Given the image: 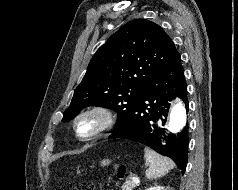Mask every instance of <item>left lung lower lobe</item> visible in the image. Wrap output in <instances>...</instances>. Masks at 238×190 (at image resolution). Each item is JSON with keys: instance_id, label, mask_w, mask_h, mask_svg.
Returning a JSON list of instances; mask_svg holds the SVG:
<instances>
[{"instance_id": "obj_1", "label": "left lung lower lobe", "mask_w": 238, "mask_h": 190, "mask_svg": "<svg viewBox=\"0 0 238 190\" xmlns=\"http://www.w3.org/2000/svg\"><path fill=\"white\" fill-rule=\"evenodd\" d=\"M181 98L188 110L187 84L178 53L149 81L127 118L114 128L109 138H124L142 143L170 157L184 173L187 165L188 126L179 133L166 134L163 128L169 101Z\"/></svg>"}]
</instances>
